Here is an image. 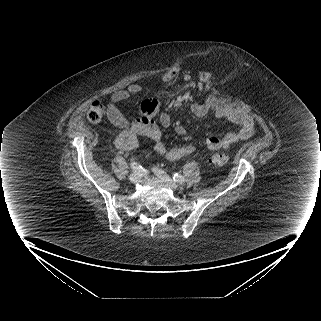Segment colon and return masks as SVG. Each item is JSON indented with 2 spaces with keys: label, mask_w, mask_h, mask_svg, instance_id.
Here are the masks:
<instances>
[{
  "label": "colon",
  "mask_w": 321,
  "mask_h": 321,
  "mask_svg": "<svg viewBox=\"0 0 321 321\" xmlns=\"http://www.w3.org/2000/svg\"><path fill=\"white\" fill-rule=\"evenodd\" d=\"M175 75L174 69H169L166 72H162L160 74V79L166 83L169 84L173 80V76ZM198 80L203 85H208L213 80V75L208 70H203L198 75ZM133 113L135 115H140V110L137 106L133 108ZM105 115V107L104 105L96 100L93 101L87 111V119L92 123H99L102 121ZM229 162V157L226 154L223 153H214L209 157V163L213 164L215 166H224Z\"/></svg>",
  "instance_id": "obj_1"
}]
</instances>
